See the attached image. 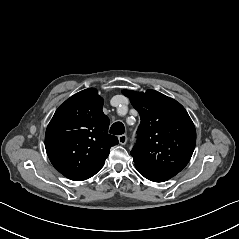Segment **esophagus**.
I'll return each instance as SVG.
<instances>
[{
    "instance_id": "esophagus-1",
    "label": "esophagus",
    "mask_w": 239,
    "mask_h": 239,
    "mask_svg": "<svg viewBox=\"0 0 239 239\" xmlns=\"http://www.w3.org/2000/svg\"><path fill=\"white\" fill-rule=\"evenodd\" d=\"M118 140H119V143H120L121 145H125L126 142H127V136H126V135H120V136L118 137Z\"/></svg>"
}]
</instances>
